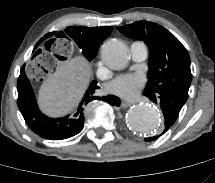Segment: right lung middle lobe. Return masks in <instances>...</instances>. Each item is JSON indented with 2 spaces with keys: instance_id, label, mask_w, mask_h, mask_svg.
<instances>
[{
  "instance_id": "dd1d6c3e",
  "label": "right lung middle lobe",
  "mask_w": 215,
  "mask_h": 183,
  "mask_svg": "<svg viewBox=\"0 0 215 183\" xmlns=\"http://www.w3.org/2000/svg\"><path fill=\"white\" fill-rule=\"evenodd\" d=\"M67 30L69 31L68 36L82 49V54L91 61L97 55L100 42L93 41L92 33L86 32L82 27L80 29L76 27H68L65 32Z\"/></svg>"
}]
</instances>
